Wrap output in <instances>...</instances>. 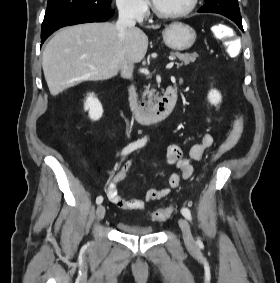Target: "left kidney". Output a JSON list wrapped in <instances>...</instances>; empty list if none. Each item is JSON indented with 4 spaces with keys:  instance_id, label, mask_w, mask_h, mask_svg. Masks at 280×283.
<instances>
[{
    "instance_id": "1",
    "label": "left kidney",
    "mask_w": 280,
    "mask_h": 283,
    "mask_svg": "<svg viewBox=\"0 0 280 283\" xmlns=\"http://www.w3.org/2000/svg\"><path fill=\"white\" fill-rule=\"evenodd\" d=\"M207 98L212 105L216 106L221 102L222 96L216 89H211Z\"/></svg>"
}]
</instances>
